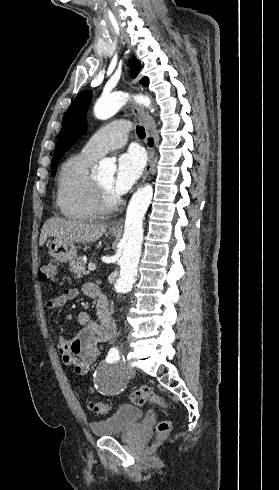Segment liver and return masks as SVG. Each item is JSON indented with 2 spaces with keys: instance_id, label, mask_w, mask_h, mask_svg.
I'll return each mask as SVG.
<instances>
[{
  "instance_id": "obj_1",
  "label": "liver",
  "mask_w": 279,
  "mask_h": 490,
  "mask_svg": "<svg viewBox=\"0 0 279 490\" xmlns=\"http://www.w3.org/2000/svg\"><path fill=\"white\" fill-rule=\"evenodd\" d=\"M105 232H107L106 224H86V222L50 218L41 230L39 246H44L50 236L60 242H82V244L96 242Z\"/></svg>"
}]
</instances>
